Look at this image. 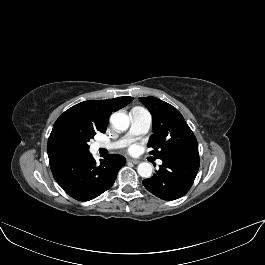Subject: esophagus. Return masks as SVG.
I'll list each match as a JSON object with an SVG mask.
<instances>
[{
    "label": "esophagus",
    "instance_id": "obj_1",
    "mask_svg": "<svg viewBox=\"0 0 265 265\" xmlns=\"http://www.w3.org/2000/svg\"><path fill=\"white\" fill-rule=\"evenodd\" d=\"M128 161L131 162V163H133V164H138L139 163V161L134 160V159H128Z\"/></svg>",
    "mask_w": 265,
    "mask_h": 265
}]
</instances>
